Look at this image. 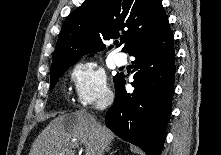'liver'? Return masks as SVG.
I'll list each match as a JSON object with an SVG mask.
<instances>
[{"instance_id": "1", "label": "liver", "mask_w": 221, "mask_h": 155, "mask_svg": "<svg viewBox=\"0 0 221 155\" xmlns=\"http://www.w3.org/2000/svg\"><path fill=\"white\" fill-rule=\"evenodd\" d=\"M114 133L94 116L80 110L53 119L32 144L29 155H75L73 145L85 146V155H103Z\"/></svg>"}]
</instances>
